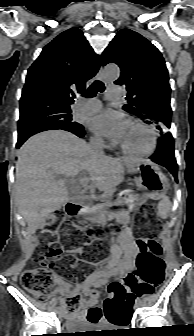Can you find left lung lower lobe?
I'll return each instance as SVG.
<instances>
[{
    "mask_svg": "<svg viewBox=\"0 0 194 336\" xmlns=\"http://www.w3.org/2000/svg\"><path fill=\"white\" fill-rule=\"evenodd\" d=\"M152 161L166 167L177 180V163L174 155V141L169 132L162 134L156 152L150 157Z\"/></svg>",
    "mask_w": 194,
    "mask_h": 336,
    "instance_id": "obj_1",
    "label": "left lung lower lobe"
}]
</instances>
